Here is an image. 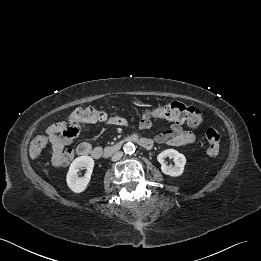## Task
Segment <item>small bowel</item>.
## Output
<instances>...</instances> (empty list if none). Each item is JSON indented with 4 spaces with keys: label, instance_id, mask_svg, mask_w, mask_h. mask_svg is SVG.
Listing matches in <instances>:
<instances>
[{
    "label": "small bowel",
    "instance_id": "obj_1",
    "mask_svg": "<svg viewBox=\"0 0 261 261\" xmlns=\"http://www.w3.org/2000/svg\"><path fill=\"white\" fill-rule=\"evenodd\" d=\"M106 124L118 127H128L127 120L119 114L108 115ZM72 122L68 119V122H58L50 125L46 129V133H49L51 137V142L49 145V153L51 156V161L56 166H64L71 162L74 154L79 156L90 155L92 157H99L101 155V148L92 146L87 142L80 143L75 152L71 150H63L65 144H60L58 142V136L66 130ZM153 123L151 121L147 123L140 124L142 129L153 128ZM154 142L158 144H166L173 147H181L191 145L195 142V135L187 130H184L179 122H174L168 129L162 131L154 137Z\"/></svg>",
    "mask_w": 261,
    "mask_h": 261
}]
</instances>
